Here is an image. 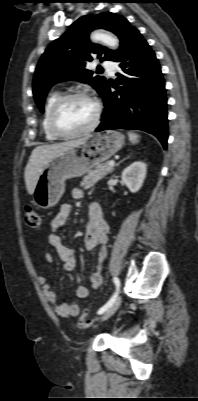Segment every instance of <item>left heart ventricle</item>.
<instances>
[{"label": "left heart ventricle", "mask_w": 198, "mask_h": 401, "mask_svg": "<svg viewBox=\"0 0 198 401\" xmlns=\"http://www.w3.org/2000/svg\"><path fill=\"white\" fill-rule=\"evenodd\" d=\"M95 116L94 104L83 98L73 99L63 105L57 115V125L65 132L87 128Z\"/></svg>", "instance_id": "b2bd125f"}]
</instances>
